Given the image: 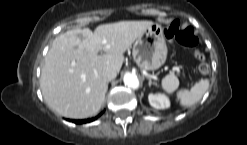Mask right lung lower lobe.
<instances>
[{
  "instance_id": "98d812e1",
  "label": "right lung lower lobe",
  "mask_w": 247,
  "mask_h": 145,
  "mask_svg": "<svg viewBox=\"0 0 247 145\" xmlns=\"http://www.w3.org/2000/svg\"><path fill=\"white\" fill-rule=\"evenodd\" d=\"M96 118H97V117H96ZM96 118L85 119V120H73V122H74V123H77V124H82V123L91 122V121L95 120Z\"/></svg>"
}]
</instances>
